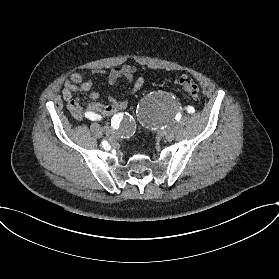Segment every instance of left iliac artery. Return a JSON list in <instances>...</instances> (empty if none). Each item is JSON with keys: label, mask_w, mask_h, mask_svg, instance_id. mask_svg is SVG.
Listing matches in <instances>:
<instances>
[{"label": "left iliac artery", "mask_w": 279, "mask_h": 279, "mask_svg": "<svg viewBox=\"0 0 279 279\" xmlns=\"http://www.w3.org/2000/svg\"><path fill=\"white\" fill-rule=\"evenodd\" d=\"M187 111H188V113H194L195 112V109L192 107V106H188L187 107Z\"/></svg>", "instance_id": "obj_1"}]
</instances>
